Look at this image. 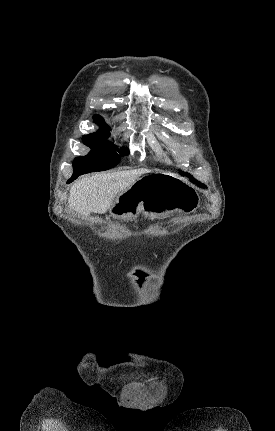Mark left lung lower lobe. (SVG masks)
Returning a JSON list of instances; mask_svg holds the SVG:
<instances>
[{
  "instance_id": "obj_1",
  "label": "left lung lower lobe",
  "mask_w": 275,
  "mask_h": 431,
  "mask_svg": "<svg viewBox=\"0 0 275 431\" xmlns=\"http://www.w3.org/2000/svg\"><path fill=\"white\" fill-rule=\"evenodd\" d=\"M183 176V175H182ZM191 182L198 184L200 187H205L204 184H201L200 182H198L196 179L193 178H189Z\"/></svg>"
}]
</instances>
